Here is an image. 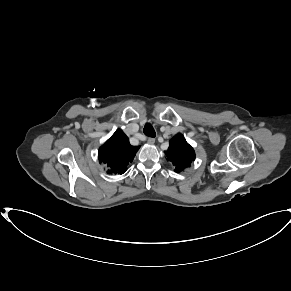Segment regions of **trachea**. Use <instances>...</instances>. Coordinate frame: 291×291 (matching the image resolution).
<instances>
[{
  "mask_svg": "<svg viewBox=\"0 0 291 291\" xmlns=\"http://www.w3.org/2000/svg\"><path fill=\"white\" fill-rule=\"evenodd\" d=\"M143 132H144V134H145L146 136H148V137H152V138H153V137L156 136V132H155V130H154V128L152 127L151 124H146V125L144 126Z\"/></svg>",
  "mask_w": 291,
  "mask_h": 291,
  "instance_id": "3493384b",
  "label": "trachea"
}]
</instances>
